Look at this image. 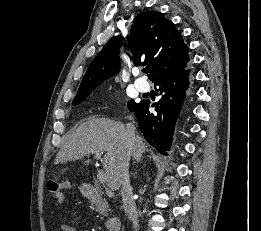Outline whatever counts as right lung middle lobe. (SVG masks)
I'll return each mask as SVG.
<instances>
[{"mask_svg":"<svg viewBox=\"0 0 261 231\" xmlns=\"http://www.w3.org/2000/svg\"><path fill=\"white\" fill-rule=\"evenodd\" d=\"M90 93H91V92H87V93H82V94L76 95L75 98H74V100H73V102H72V104H73V105L80 104L82 101H84V100L88 97V95H89ZM137 105H138V103L134 102L133 100H130V101L128 102V108H129V110L134 109Z\"/></svg>","mask_w":261,"mask_h":231,"instance_id":"1","label":"right lung middle lobe"}]
</instances>
